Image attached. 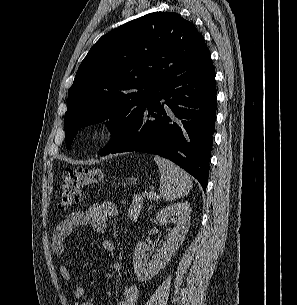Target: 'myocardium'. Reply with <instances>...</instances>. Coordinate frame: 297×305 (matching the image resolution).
<instances>
[{
	"mask_svg": "<svg viewBox=\"0 0 297 305\" xmlns=\"http://www.w3.org/2000/svg\"><path fill=\"white\" fill-rule=\"evenodd\" d=\"M114 134V128L109 122H99L94 124L90 130L89 135L94 140H106Z\"/></svg>",
	"mask_w": 297,
	"mask_h": 305,
	"instance_id": "1",
	"label": "myocardium"
}]
</instances>
